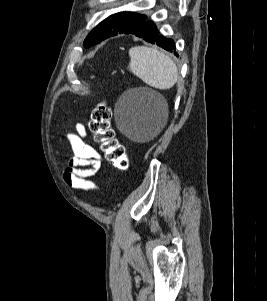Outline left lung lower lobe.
I'll use <instances>...</instances> for the list:
<instances>
[{"instance_id": "left-lung-lower-lobe-1", "label": "left lung lower lobe", "mask_w": 267, "mask_h": 301, "mask_svg": "<svg viewBox=\"0 0 267 301\" xmlns=\"http://www.w3.org/2000/svg\"><path fill=\"white\" fill-rule=\"evenodd\" d=\"M124 34L135 35L139 38L144 39L147 42L156 44L165 50L174 52V54L178 56V54L175 51V44L173 40L159 35L158 29L152 21L145 20L139 25L125 31Z\"/></svg>"}]
</instances>
